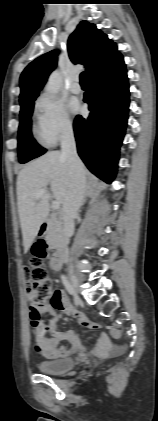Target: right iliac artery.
<instances>
[{
	"label": "right iliac artery",
	"mask_w": 158,
	"mask_h": 421,
	"mask_svg": "<svg viewBox=\"0 0 158 421\" xmlns=\"http://www.w3.org/2000/svg\"><path fill=\"white\" fill-rule=\"evenodd\" d=\"M61 279H62V283L65 286V288L68 291V293L71 294V295H73L74 294V289L71 286V284L69 283V281L67 280V278L64 275H62L61 276Z\"/></svg>",
	"instance_id": "1"
}]
</instances>
